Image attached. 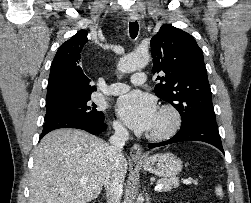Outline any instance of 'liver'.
<instances>
[{"instance_id": "obj_1", "label": "liver", "mask_w": 251, "mask_h": 203, "mask_svg": "<svg viewBox=\"0 0 251 203\" xmlns=\"http://www.w3.org/2000/svg\"><path fill=\"white\" fill-rule=\"evenodd\" d=\"M108 148L81 130L47 134L35 149L29 203H88L97 198L111 167ZM127 166L123 158L124 175Z\"/></svg>"}]
</instances>
